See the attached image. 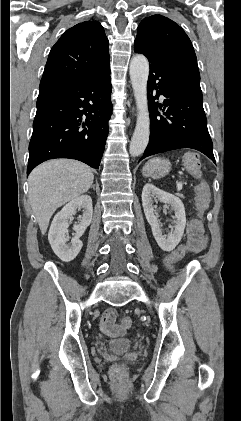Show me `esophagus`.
Wrapping results in <instances>:
<instances>
[{"label":"esophagus","instance_id":"34e87169","mask_svg":"<svg viewBox=\"0 0 241 421\" xmlns=\"http://www.w3.org/2000/svg\"><path fill=\"white\" fill-rule=\"evenodd\" d=\"M132 114H134V108H132Z\"/></svg>","mask_w":241,"mask_h":421}]
</instances>
